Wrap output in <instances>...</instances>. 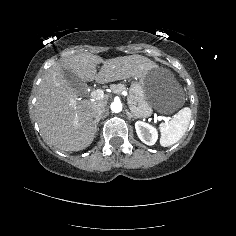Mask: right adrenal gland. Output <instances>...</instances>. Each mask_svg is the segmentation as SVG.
Returning a JSON list of instances; mask_svg holds the SVG:
<instances>
[{"instance_id":"right-adrenal-gland-1","label":"right adrenal gland","mask_w":236,"mask_h":236,"mask_svg":"<svg viewBox=\"0 0 236 236\" xmlns=\"http://www.w3.org/2000/svg\"><path fill=\"white\" fill-rule=\"evenodd\" d=\"M102 117H99L98 118V121H94L95 122V127H96V131L99 130V128H97V125L99 124V121L101 120Z\"/></svg>"}]
</instances>
